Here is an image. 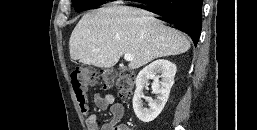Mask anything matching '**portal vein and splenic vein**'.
I'll list each match as a JSON object with an SVG mask.
<instances>
[{
	"instance_id": "18ae733b",
	"label": "portal vein and splenic vein",
	"mask_w": 257,
	"mask_h": 130,
	"mask_svg": "<svg viewBox=\"0 0 257 130\" xmlns=\"http://www.w3.org/2000/svg\"><path fill=\"white\" fill-rule=\"evenodd\" d=\"M124 59H125L126 61H132V60H133V56H132L131 54H125V55H124Z\"/></svg>"
}]
</instances>
